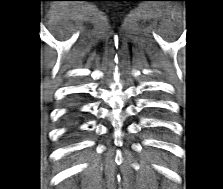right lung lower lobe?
<instances>
[{"mask_svg": "<svg viewBox=\"0 0 223 189\" xmlns=\"http://www.w3.org/2000/svg\"><path fill=\"white\" fill-rule=\"evenodd\" d=\"M80 113L79 104L76 101H72L68 107V111L64 119L68 138L73 137L77 132Z\"/></svg>", "mask_w": 223, "mask_h": 189, "instance_id": "right-lung-lower-lobe-1", "label": "right lung lower lobe"}]
</instances>
